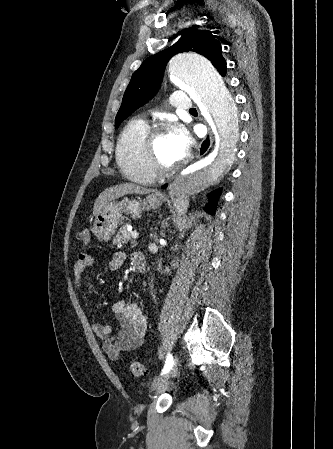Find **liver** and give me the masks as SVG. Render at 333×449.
Wrapping results in <instances>:
<instances>
[{
    "mask_svg": "<svg viewBox=\"0 0 333 449\" xmlns=\"http://www.w3.org/2000/svg\"><path fill=\"white\" fill-rule=\"evenodd\" d=\"M151 192L149 189H145L132 183H121L115 186H111L105 189L97 198L93 208V214H96L110 201L122 197L127 194H147Z\"/></svg>",
    "mask_w": 333,
    "mask_h": 449,
    "instance_id": "1",
    "label": "liver"
}]
</instances>
